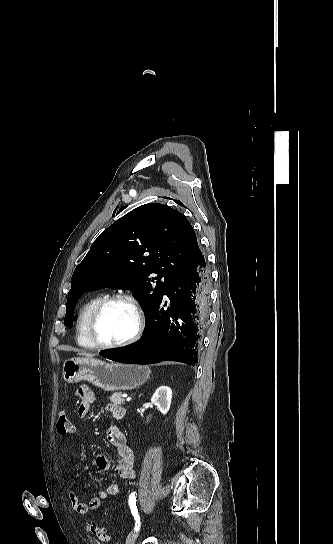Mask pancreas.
Masks as SVG:
<instances>
[{
  "instance_id": "cf45deb5",
  "label": "pancreas",
  "mask_w": 333,
  "mask_h": 544,
  "mask_svg": "<svg viewBox=\"0 0 333 544\" xmlns=\"http://www.w3.org/2000/svg\"><path fill=\"white\" fill-rule=\"evenodd\" d=\"M110 401L115 403V404H119V405H124L125 404V399L122 397V393L121 392H118V393H113L110 397H109Z\"/></svg>"
}]
</instances>
